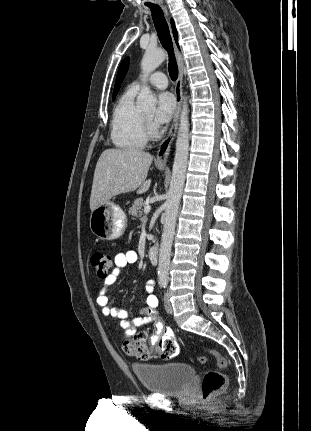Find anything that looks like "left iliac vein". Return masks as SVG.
<instances>
[{
	"instance_id": "left-iliac-vein-1",
	"label": "left iliac vein",
	"mask_w": 311,
	"mask_h": 431,
	"mask_svg": "<svg viewBox=\"0 0 311 431\" xmlns=\"http://www.w3.org/2000/svg\"><path fill=\"white\" fill-rule=\"evenodd\" d=\"M164 306H165L166 312H168V313H172L173 312L172 304L169 301V295H168V293H165V295H164Z\"/></svg>"
}]
</instances>
